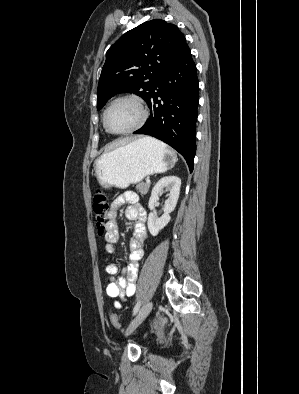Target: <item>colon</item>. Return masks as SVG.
Returning <instances> with one entry per match:
<instances>
[{
	"mask_svg": "<svg viewBox=\"0 0 299 394\" xmlns=\"http://www.w3.org/2000/svg\"><path fill=\"white\" fill-rule=\"evenodd\" d=\"M93 212L95 216L96 226L99 231H103L108 219L109 203L108 197L102 190H96L93 197ZM111 323L114 328L119 329L120 323L117 314H111Z\"/></svg>",
	"mask_w": 299,
	"mask_h": 394,
	"instance_id": "1",
	"label": "colon"
}]
</instances>
